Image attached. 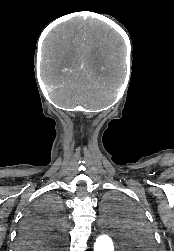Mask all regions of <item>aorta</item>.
Wrapping results in <instances>:
<instances>
[{"label":"aorta","mask_w":174,"mask_h":251,"mask_svg":"<svg viewBox=\"0 0 174 251\" xmlns=\"http://www.w3.org/2000/svg\"><path fill=\"white\" fill-rule=\"evenodd\" d=\"M101 232L94 244V251H114L112 239L107 234L109 230L115 229L123 232L122 221L120 219L104 218L100 224Z\"/></svg>","instance_id":"obj_1"}]
</instances>
